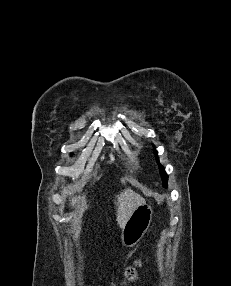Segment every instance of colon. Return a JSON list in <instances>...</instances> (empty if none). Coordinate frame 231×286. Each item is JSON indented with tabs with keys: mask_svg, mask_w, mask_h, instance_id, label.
<instances>
[{
	"mask_svg": "<svg viewBox=\"0 0 231 286\" xmlns=\"http://www.w3.org/2000/svg\"><path fill=\"white\" fill-rule=\"evenodd\" d=\"M140 266H141V261L137 260L133 265L127 267L125 274H124V280L120 283V285L135 281L138 277V268ZM114 286H118V285H114Z\"/></svg>",
	"mask_w": 231,
	"mask_h": 286,
	"instance_id": "1",
	"label": "colon"
}]
</instances>
